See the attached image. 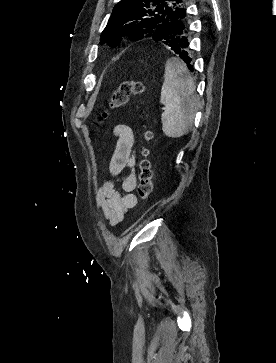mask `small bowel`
<instances>
[{"label": "small bowel", "mask_w": 276, "mask_h": 363, "mask_svg": "<svg viewBox=\"0 0 276 363\" xmlns=\"http://www.w3.org/2000/svg\"><path fill=\"white\" fill-rule=\"evenodd\" d=\"M113 135L116 138V146L108 165L110 178L104 179L95 192L97 208L112 227L120 224L127 211L137 204V197L133 193L137 184L134 130L126 124H118L114 127ZM125 168L130 172L123 178L119 190L115 187L114 177Z\"/></svg>", "instance_id": "small-bowel-1"}]
</instances>
